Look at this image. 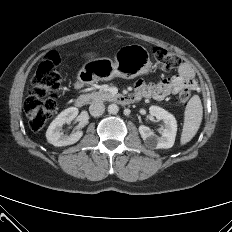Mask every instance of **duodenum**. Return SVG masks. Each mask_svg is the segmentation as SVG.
Listing matches in <instances>:
<instances>
[{
	"instance_id": "410a0bca",
	"label": "duodenum",
	"mask_w": 232,
	"mask_h": 232,
	"mask_svg": "<svg viewBox=\"0 0 232 232\" xmlns=\"http://www.w3.org/2000/svg\"><path fill=\"white\" fill-rule=\"evenodd\" d=\"M87 97L83 94L78 95L75 99V106L77 108H82L86 103ZM116 102L122 105H128L140 100V97L137 95H118L115 98Z\"/></svg>"
}]
</instances>
